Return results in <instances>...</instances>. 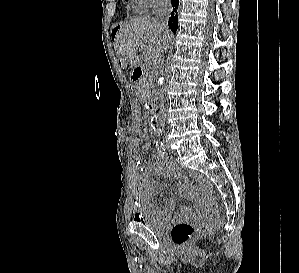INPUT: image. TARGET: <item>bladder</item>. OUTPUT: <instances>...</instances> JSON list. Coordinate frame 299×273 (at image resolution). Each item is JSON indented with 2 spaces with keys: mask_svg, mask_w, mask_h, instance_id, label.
Instances as JSON below:
<instances>
[{
  "mask_svg": "<svg viewBox=\"0 0 299 273\" xmlns=\"http://www.w3.org/2000/svg\"><path fill=\"white\" fill-rule=\"evenodd\" d=\"M143 226L151 231L161 234L165 231L166 222L162 218L155 217L147 212L143 214L140 220H138Z\"/></svg>",
  "mask_w": 299,
  "mask_h": 273,
  "instance_id": "obj_1",
  "label": "bladder"
}]
</instances>
